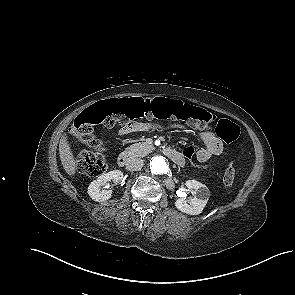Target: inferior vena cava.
Returning <instances> with one entry per match:
<instances>
[{"mask_svg":"<svg viewBox=\"0 0 295 295\" xmlns=\"http://www.w3.org/2000/svg\"><path fill=\"white\" fill-rule=\"evenodd\" d=\"M143 166V160L140 158L132 157L126 163V169L129 171H136L141 169Z\"/></svg>","mask_w":295,"mask_h":295,"instance_id":"obj_1","label":"inferior vena cava"}]
</instances>
